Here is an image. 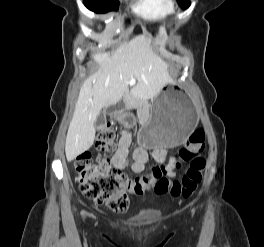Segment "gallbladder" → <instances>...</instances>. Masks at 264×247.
I'll return each mask as SVG.
<instances>
[{
    "label": "gallbladder",
    "mask_w": 264,
    "mask_h": 247,
    "mask_svg": "<svg viewBox=\"0 0 264 247\" xmlns=\"http://www.w3.org/2000/svg\"><path fill=\"white\" fill-rule=\"evenodd\" d=\"M98 116V119L95 121L96 127H103L106 124L105 113L103 111H100V114Z\"/></svg>",
    "instance_id": "1"
}]
</instances>
